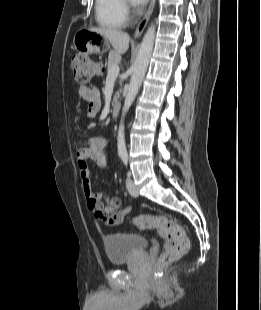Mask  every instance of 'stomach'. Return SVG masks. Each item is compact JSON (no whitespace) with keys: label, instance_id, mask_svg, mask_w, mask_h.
Returning a JSON list of instances; mask_svg holds the SVG:
<instances>
[{"label":"stomach","instance_id":"stomach-1","mask_svg":"<svg viewBox=\"0 0 261 310\" xmlns=\"http://www.w3.org/2000/svg\"><path fill=\"white\" fill-rule=\"evenodd\" d=\"M75 49L102 54L108 51L109 41L101 34L89 30L77 32L73 39Z\"/></svg>","mask_w":261,"mask_h":310}]
</instances>
